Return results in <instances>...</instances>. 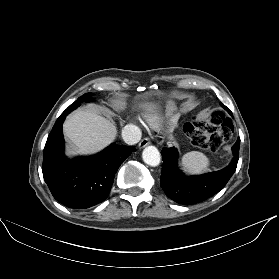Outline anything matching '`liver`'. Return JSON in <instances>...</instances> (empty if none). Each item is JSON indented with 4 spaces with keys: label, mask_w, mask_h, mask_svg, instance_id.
<instances>
[{
    "label": "liver",
    "mask_w": 279,
    "mask_h": 279,
    "mask_svg": "<svg viewBox=\"0 0 279 279\" xmlns=\"http://www.w3.org/2000/svg\"><path fill=\"white\" fill-rule=\"evenodd\" d=\"M143 107L151 110L154 105L147 103ZM169 109L173 110V107ZM63 130L73 145L69 155L95 154L113 142L117 135L114 123L103 117L98 108L76 111L67 118Z\"/></svg>",
    "instance_id": "1"
}]
</instances>
